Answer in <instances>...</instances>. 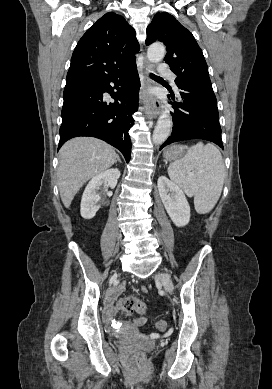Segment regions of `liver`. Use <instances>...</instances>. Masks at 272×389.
<instances>
[{"label":"liver","mask_w":272,"mask_h":389,"mask_svg":"<svg viewBox=\"0 0 272 389\" xmlns=\"http://www.w3.org/2000/svg\"><path fill=\"white\" fill-rule=\"evenodd\" d=\"M117 159L109 144L92 137H78L66 142L59 151L57 170L61 200L66 208L89 179L106 171Z\"/></svg>","instance_id":"6515ba94"}]
</instances>
